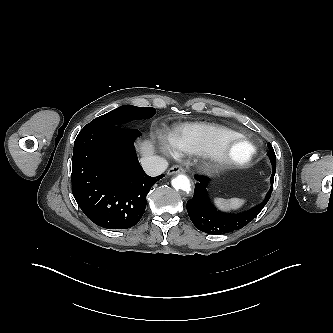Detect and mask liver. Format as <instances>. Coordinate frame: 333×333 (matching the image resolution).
<instances>
[{"mask_svg": "<svg viewBox=\"0 0 333 333\" xmlns=\"http://www.w3.org/2000/svg\"><path fill=\"white\" fill-rule=\"evenodd\" d=\"M155 151L154 145L150 141H143L138 142V152L142 156H149L152 155Z\"/></svg>", "mask_w": 333, "mask_h": 333, "instance_id": "obj_1", "label": "liver"}]
</instances>
